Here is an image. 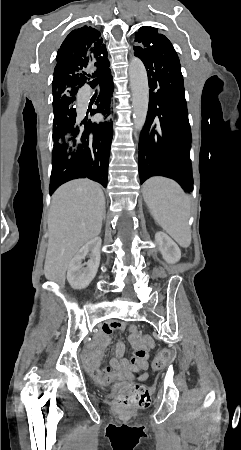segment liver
Instances as JSON below:
<instances>
[{"label":"liver","instance_id":"6515ba94","mask_svg":"<svg viewBox=\"0 0 241 450\" xmlns=\"http://www.w3.org/2000/svg\"><path fill=\"white\" fill-rule=\"evenodd\" d=\"M104 194L96 182L72 180L52 196L48 216V248L44 274L47 280L65 284L66 270L79 248L101 232Z\"/></svg>","mask_w":241,"mask_h":450}]
</instances>
